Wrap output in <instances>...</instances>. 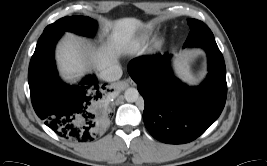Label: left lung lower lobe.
<instances>
[{
	"label": "left lung lower lobe",
	"instance_id": "left-lung-lower-lobe-1",
	"mask_svg": "<svg viewBox=\"0 0 267 166\" xmlns=\"http://www.w3.org/2000/svg\"><path fill=\"white\" fill-rule=\"evenodd\" d=\"M186 47H201L208 55L209 74L196 87L173 76L171 54L141 56L128 64L145 101L144 124L168 144L188 143L203 134L221 114L227 96L226 67L214 36H202Z\"/></svg>",
	"mask_w": 267,
	"mask_h": 166
}]
</instances>
